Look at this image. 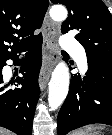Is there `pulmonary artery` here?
Listing matches in <instances>:
<instances>
[{
	"mask_svg": "<svg viewBox=\"0 0 112 135\" xmlns=\"http://www.w3.org/2000/svg\"><path fill=\"white\" fill-rule=\"evenodd\" d=\"M61 46L73 56L80 69L85 72L87 70V58L82 46L70 36L62 37Z\"/></svg>",
	"mask_w": 112,
	"mask_h": 135,
	"instance_id": "1",
	"label": "pulmonary artery"
}]
</instances>
